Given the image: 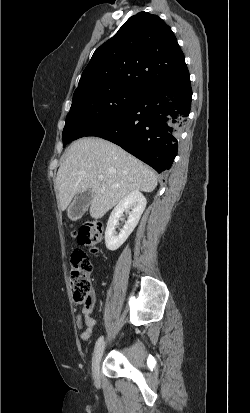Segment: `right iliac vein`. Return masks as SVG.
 <instances>
[{"label":"right iliac vein","instance_id":"63e3f726","mask_svg":"<svg viewBox=\"0 0 250 413\" xmlns=\"http://www.w3.org/2000/svg\"><path fill=\"white\" fill-rule=\"evenodd\" d=\"M105 349V343H102L94 352L93 358H92V372H93V377L95 380H99L100 378V362L103 356V352Z\"/></svg>","mask_w":250,"mask_h":413}]
</instances>
